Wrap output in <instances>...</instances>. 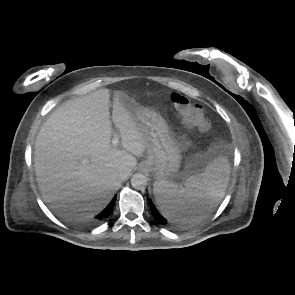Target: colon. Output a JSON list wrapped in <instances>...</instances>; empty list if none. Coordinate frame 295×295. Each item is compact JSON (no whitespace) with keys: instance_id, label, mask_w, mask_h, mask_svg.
Returning a JSON list of instances; mask_svg holds the SVG:
<instances>
[{"instance_id":"1","label":"colon","mask_w":295,"mask_h":295,"mask_svg":"<svg viewBox=\"0 0 295 295\" xmlns=\"http://www.w3.org/2000/svg\"><path fill=\"white\" fill-rule=\"evenodd\" d=\"M171 102L185 125L196 127L200 131H207L210 128V122L206 118L205 112L201 106L193 103L187 97L179 93H173L171 95Z\"/></svg>"}]
</instances>
